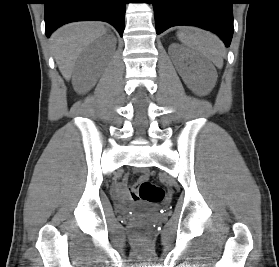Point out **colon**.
<instances>
[{
	"instance_id": "colon-1",
	"label": "colon",
	"mask_w": 279,
	"mask_h": 267,
	"mask_svg": "<svg viewBox=\"0 0 279 267\" xmlns=\"http://www.w3.org/2000/svg\"><path fill=\"white\" fill-rule=\"evenodd\" d=\"M134 192H138V196H140V200L149 201L153 203H159L164 199L165 192L164 190L149 181L148 174L142 173L140 175L139 181H138V188Z\"/></svg>"
}]
</instances>
